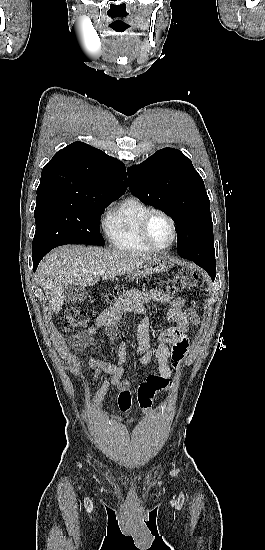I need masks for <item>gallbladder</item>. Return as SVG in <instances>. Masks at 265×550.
Wrapping results in <instances>:
<instances>
[{
    "mask_svg": "<svg viewBox=\"0 0 265 550\" xmlns=\"http://www.w3.org/2000/svg\"><path fill=\"white\" fill-rule=\"evenodd\" d=\"M87 290L80 285H69L65 291V300L67 303L76 304L83 302L87 297Z\"/></svg>",
    "mask_w": 265,
    "mask_h": 550,
    "instance_id": "bac80fb5",
    "label": "gallbladder"
}]
</instances>
